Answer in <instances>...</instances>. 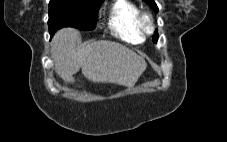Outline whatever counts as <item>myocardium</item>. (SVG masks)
<instances>
[{
    "label": "myocardium",
    "mask_w": 227,
    "mask_h": 142,
    "mask_svg": "<svg viewBox=\"0 0 227 142\" xmlns=\"http://www.w3.org/2000/svg\"><path fill=\"white\" fill-rule=\"evenodd\" d=\"M141 29L145 34H152L154 32V23L152 16L148 13L140 15Z\"/></svg>",
    "instance_id": "obj_1"
}]
</instances>
